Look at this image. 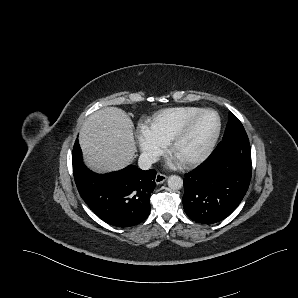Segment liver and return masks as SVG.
Segmentation results:
<instances>
[{"mask_svg": "<svg viewBox=\"0 0 298 298\" xmlns=\"http://www.w3.org/2000/svg\"><path fill=\"white\" fill-rule=\"evenodd\" d=\"M133 123L117 107H105L89 115L79 132V144L88 167L96 172L116 171L134 159Z\"/></svg>", "mask_w": 298, "mask_h": 298, "instance_id": "6515ba94", "label": "liver"}]
</instances>
